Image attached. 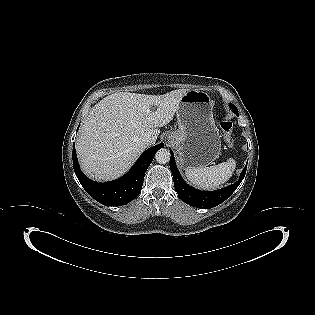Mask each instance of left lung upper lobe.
<instances>
[{"label":"left lung upper lobe","mask_w":315,"mask_h":315,"mask_svg":"<svg viewBox=\"0 0 315 315\" xmlns=\"http://www.w3.org/2000/svg\"><path fill=\"white\" fill-rule=\"evenodd\" d=\"M230 108L232 109V111H233L235 114H238L237 108H236L233 104H231V103H230Z\"/></svg>","instance_id":"1"}]
</instances>
